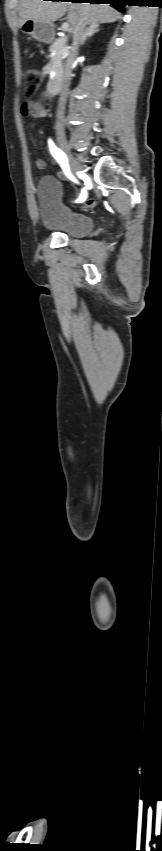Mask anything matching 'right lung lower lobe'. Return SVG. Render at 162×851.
Masks as SVG:
<instances>
[{
  "label": "right lung lower lobe",
  "mask_w": 162,
  "mask_h": 851,
  "mask_svg": "<svg viewBox=\"0 0 162 851\" xmlns=\"http://www.w3.org/2000/svg\"><path fill=\"white\" fill-rule=\"evenodd\" d=\"M55 1H63V0H55ZM71 2H88L91 4H110L112 7L117 9L120 12H123L124 5L129 2V0H71Z\"/></svg>",
  "instance_id": "right-lung-lower-lobe-1"
}]
</instances>
